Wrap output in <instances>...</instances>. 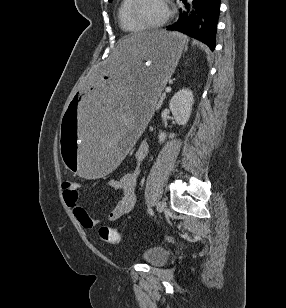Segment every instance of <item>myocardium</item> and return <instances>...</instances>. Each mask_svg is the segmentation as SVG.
Returning <instances> with one entry per match:
<instances>
[{"instance_id":"f54148a6","label":"myocardium","mask_w":286,"mask_h":308,"mask_svg":"<svg viewBox=\"0 0 286 308\" xmlns=\"http://www.w3.org/2000/svg\"><path fill=\"white\" fill-rule=\"evenodd\" d=\"M164 2L167 7V14L161 21L157 23H146L140 18L138 14V8L141 3V0H132L131 6L129 9L130 18L133 20V22H135L138 26H140L141 28L145 30H154V29L162 28L169 22V20L171 19L173 15V9L170 4V1L164 0Z\"/></svg>"}]
</instances>
